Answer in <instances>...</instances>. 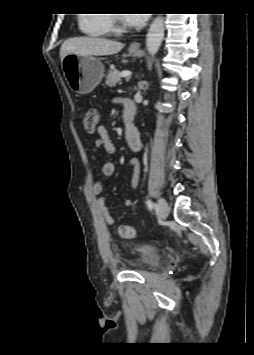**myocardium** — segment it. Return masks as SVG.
Masks as SVG:
<instances>
[{
	"label": "myocardium",
	"instance_id": "myocardium-1",
	"mask_svg": "<svg viewBox=\"0 0 254 355\" xmlns=\"http://www.w3.org/2000/svg\"><path fill=\"white\" fill-rule=\"evenodd\" d=\"M112 20H113L112 23L113 31H115L116 33H123L127 31L126 26L119 19L118 15H113Z\"/></svg>",
	"mask_w": 254,
	"mask_h": 355
}]
</instances>
